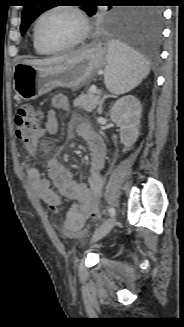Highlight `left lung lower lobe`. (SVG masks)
Listing matches in <instances>:
<instances>
[{"label":"left lung lower lobe","instance_id":"left-lung-lower-lobe-1","mask_svg":"<svg viewBox=\"0 0 184 327\" xmlns=\"http://www.w3.org/2000/svg\"><path fill=\"white\" fill-rule=\"evenodd\" d=\"M162 12L156 7L137 10L134 18L119 31L121 42L151 56L158 54L161 37Z\"/></svg>","mask_w":184,"mask_h":327}]
</instances>
